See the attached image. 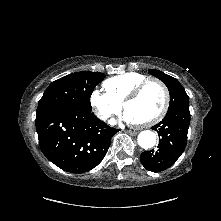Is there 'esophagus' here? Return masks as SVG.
I'll return each mask as SVG.
<instances>
[{"label": "esophagus", "instance_id": "34e87169", "mask_svg": "<svg viewBox=\"0 0 221 221\" xmlns=\"http://www.w3.org/2000/svg\"><path fill=\"white\" fill-rule=\"evenodd\" d=\"M130 135H136L137 134V132L136 131H131V130H128L127 131Z\"/></svg>", "mask_w": 221, "mask_h": 221}]
</instances>
